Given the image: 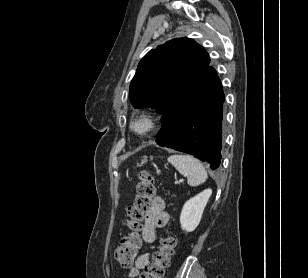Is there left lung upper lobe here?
<instances>
[{"instance_id": "left-lung-upper-lobe-1", "label": "left lung upper lobe", "mask_w": 308, "mask_h": 278, "mask_svg": "<svg viewBox=\"0 0 308 278\" xmlns=\"http://www.w3.org/2000/svg\"><path fill=\"white\" fill-rule=\"evenodd\" d=\"M209 63L208 53L189 38L173 39L150 50L138 64L130 84L133 107H150L162 114Z\"/></svg>"}]
</instances>
